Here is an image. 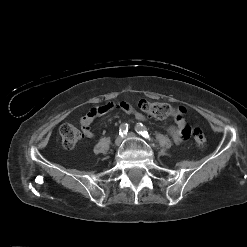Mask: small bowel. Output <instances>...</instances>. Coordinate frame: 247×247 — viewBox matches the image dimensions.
I'll list each match as a JSON object with an SVG mask.
<instances>
[{
    "mask_svg": "<svg viewBox=\"0 0 247 247\" xmlns=\"http://www.w3.org/2000/svg\"><path fill=\"white\" fill-rule=\"evenodd\" d=\"M114 109H120L125 113L133 114L138 120H145V116L136 111L131 104L127 102H110L89 109V111L80 119V125L84 135L88 138H93L94 133L91 130V124L94 119ZM175 123V125L168 127L167 131L176 143H180L189 137L190 127L184 117H175Z\"/></svg>",
    "mask_w": 247,
    "mask_h": 247,
    "instance_id": "c3829d8e",
    "label": "small bowel"
}]
</instances>
